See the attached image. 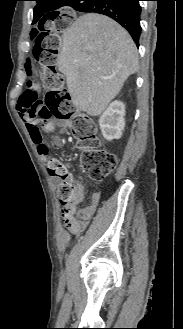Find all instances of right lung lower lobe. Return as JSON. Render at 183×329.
Masks as SVG:
<instances>
[{
	"mask_svg": "<svg viewBox=\"0 0 183 329\" xmlns=\"http://www.w3.org/2000/svg\"><path fill=\"white\" fill-rule=\"evenodd\" d=\"M140 0H71L70 6L80 12H95L109 16L128 30L136 45L141 34Z\"/></svg>",
	"mask_w": 183,
	"mask_h": 329,
	"instance_id": "right-lung-lower-lobe-1",
	"label": "right lung lower lobe"
}]
</instances>
